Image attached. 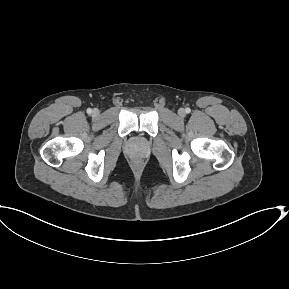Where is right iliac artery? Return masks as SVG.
<instances>
[{
  "mask_svg": "<svg viewBox=\"0 0 289 289\" xmlns=\"http://www.w3.org/2000/svg\"><path fill=\"white\" fill-rule=\"evenodd\" d=\"M87 113H88V114H91V113H92V109H91V108H88V109H87Z\"/></svg>",
  "mask_w": 289,
  "mask_h": 289,
  "instance_id": "82829eb1",
  "label": "right iliac artery"
}]
</instances>
